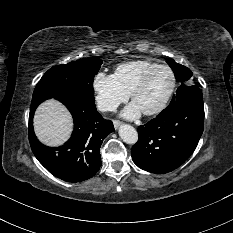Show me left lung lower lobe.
<instances>
[{"label":"left lung lower lobe","instance_id":"left-lung-lower-lobe-1","mask_svg":"<svg viewBox=\"0 0 233 233\" xmlns=\"http://www.w3.org/2000/svg\"><path fill=\"white\" fill-rule=\"evenodd\" d=\"M203 125V97L197 89L138 127L139 139L131 149L134 163L143 170L157 174L175 170L195 150Z\"/></svg>","mask_w":233,"mask_h":233}]
</instances>
